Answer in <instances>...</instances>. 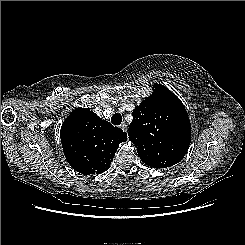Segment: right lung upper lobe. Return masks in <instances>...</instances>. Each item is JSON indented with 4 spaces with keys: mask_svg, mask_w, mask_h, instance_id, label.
I'll use <instances>...</instances> for the list:
<instances>
[{
    "mask_svg": "<svg viewBox=\"0 0 245 245\" xmlns=\"http://www.w3.org/2000/svg\"><path fill=\"white\" fill-rule=\"evenodd\" d=\"M68 163L84 175L100 174L110 167L127 133L102 120L89 108H76L60 130Z\"/></svg>",
    "mask_w": 245,
    "mask_h": 245,
    "instance_id": "obj_1",
    "label": "right lung upper lobe"
}]
</instances>
